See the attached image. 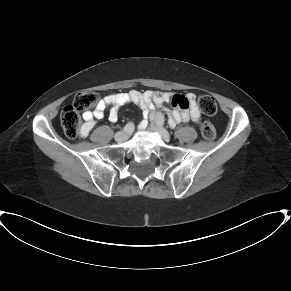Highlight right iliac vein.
Masks as SVG:
<instances>
[{
    "mask_svg": "<svg viewBox=\"0 0 291 291\" xmlns=\"http://www.w3.org/2000/svg\"><path fill=\"white\" fill-rule=\"evenodd\" d=\"M128 138V134L125 131H120L115 134V140L118 142H124Z\"/></svg>",
    "mask_w": 291,
    "mask_h": 291,
    "instance_id": "1",
    "label": "right iliac vein"
}]
</instances>
